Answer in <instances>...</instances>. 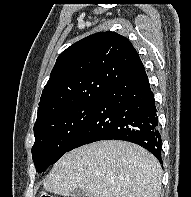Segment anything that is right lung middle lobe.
Instances as JSON below:
<instances>
[{"label": "right lung middle lobe", "instance_id": "1", "mask_svg": "<svg viewBox=\"0 0 191 197\" xmlns=\"http://www.w3.org/2000/svg\"><path fill=\"white\" fill-rule=\"evenodd\" d=\"M96 105L97 101L71 106L34 125L32 156L38 172H44L68 151Z\"/></svg>", "mask_w": 191, "mask_h": 197}]
</instances>
